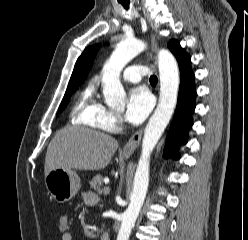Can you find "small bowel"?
Here are the masks:
<instances>
[{"mask_svg":"<svg viewBox=\"0 0 248 240\" xmlns=\"http://www.w3.org/2000/svg\"><path fill=\"white\" fill-rule=\"evenodd\" d=\"M83 200L86 205H95L98 202V197L96 194L92 192H85L83 194ZM61 240H74L73 232L68 229L67 231L63 232L61 235Z\"/></svg>","mask_w":248,"mask_h":240,"instance_id":"obj_1","label":"small bowel"}]
</instances>
